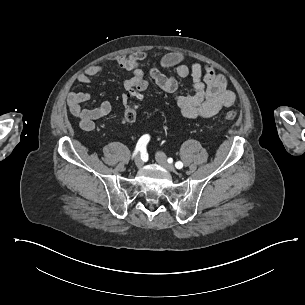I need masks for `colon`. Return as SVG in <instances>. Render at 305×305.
Wrapping results in <instances>:
<instances>
[{
	"mask_svg": "<svg viewBox=\"0 0 305 305\" xmlns=\"http://www.w3.org/2000/svg\"><path fill=\"white\" fill-rule=\"evenodd\" d=\"M146 88H147V85L143 81H140L137 83V85H134L131 87V89H130L131 95L128 96V98H127L128 105H127L126 114L124 115V120L127 123H133L135 121V119H136L135 101L137 98L140 97L141 92L146 90ZM236 116H237V112H235V111H229L224 114V118L226 120H232Z\"/></svg>",
	"mask_w": 305,
	"mask_h": 305,
	"instance_id": "obj_1",
	"label": "colon"
}]
</instances>
